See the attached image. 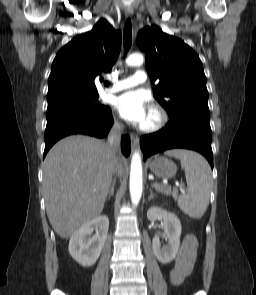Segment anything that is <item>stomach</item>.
Returning a JSON list of instances; mask_svg holds the SVG:
<instances>
[{
	"instance_id": "stomach-1",
	"label": "stomach",
	"mask_w": 256,
	"mask_h": 295,
	"mask_svg": "<svg viewBox=\"0 0 256 295\" xmlns=\"http://www.w3.org/2000/svg\"><path fill=\"white\" fill-rule=\"evenodd\" d=\"M149 167L160 178H172L177 172L175 163L165 157H156L149 163Z\"/></svg>"
}]
</instances>
